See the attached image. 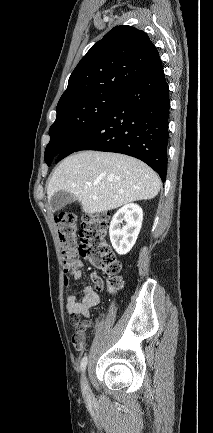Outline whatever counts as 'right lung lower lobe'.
Masks as SVG:
<instances>
[{
  "label": "right lung lower lobe",
  "instance_id": "right-lung-lower-lobe-1",
  "mask_svg": "<svg viewBox=\"0 0 213 433\" xmlns=\"http://www.w3.org/2000/svg\"><path fill=\"white\" fill-rule=\"evenodd\" d=\"M169 108V87L159 59L101 120L57 156L56 163L80 150L123 153L144 161L164 182Z\"/></svg>",
  "mask_w": 213,
  "mask_h": 433
}]
</instances>
